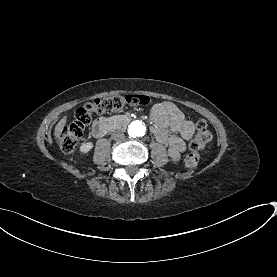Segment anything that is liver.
<instances>
[{"label":"liver","mask_w":277,"mask_h":277,"mask_svg":"<svg viewBox=\"0 0 277 277\" xmlns=\"http://www.w3.org/2000/svg\"><path fill=\"white\" fill-rule=\"evenodd\" d=\"M69 115H65L55 126L54 137L59 140L64 132V128L67 125Z\"/></svg>","instance_id":"liver-1"}]
</instances>
